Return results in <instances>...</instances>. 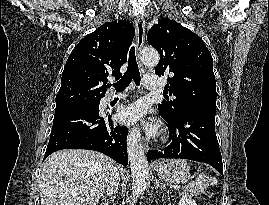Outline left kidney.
<instances>
[{
    "mask_svg": "<svg viewBox=\"0 0 269 205\" xmlns=\"http://www.w3.org/2000/svg\"><path fill=\"white\" fill-rule=\"evenodd\" d=\"M179 205H197V203L194 200H190L189 198H181Z\"/></svg>",
    "mask_w": 269,
    "mask_h": 205,
    "instance_id": "1",
    "label": "left kidney"
}]
</instances>
